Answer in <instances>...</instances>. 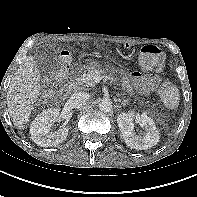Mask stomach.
I'll use <instances>...</instances> for the list:
<instances>
[{
  "mask_svg": "<svg viewBox=\"0 0 197 197\" xmlns=\"http://www.w3.org/2000/svg\"><path fill=\"white\" fill-rule=\"evenodd\" d=\"M89 66H90V67H93V68L98 67V63H97L96 61H91V62L89 63Z\"/></svg>",
  "mask_w": 197,
  "mask_h": 197,
  "instance_id": "0dacf381",
  "label": "stomach"
}]
</instances>
